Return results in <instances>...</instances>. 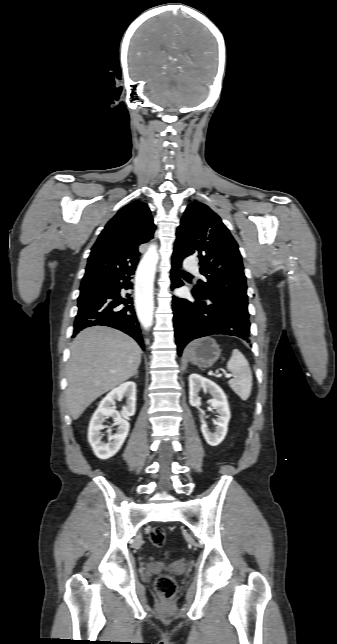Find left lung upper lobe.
<instances>
[{
    "label": "left lung upper lobe",
    "instance_id": "left-lung-upper-lobe-1",
    "mask_svg": "<svg viewBox=\"0 0 337 644\" xmlns=\"http://www.w3.org/2000/svg\"><path fill=\"white\" fill-rule=\"evenodd\" d=\"M173 258L189 255L200 259L199 281L194 292L219 298L249 319L247 286L238 245L220 217L205 204L188 205L177 229Z\"/></svg>",
    "mask_w": 337,
    "mask_h": 644
}]
</instances>
